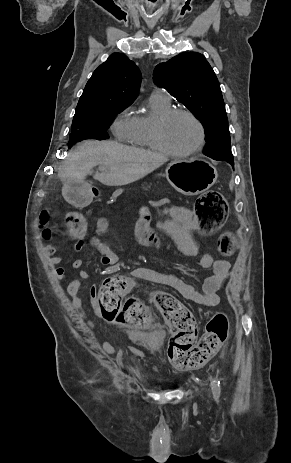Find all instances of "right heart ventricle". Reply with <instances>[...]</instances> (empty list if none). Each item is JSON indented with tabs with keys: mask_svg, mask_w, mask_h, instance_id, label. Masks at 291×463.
Wrapping results in <instances>:
<instances>
[{
	"mask_svg": "<svg viewBox=\"0 0 291 463\" xmlns=\"http://www.w3.org/2000/svg\"><path fill=\"white\" fill-rule=\"evenodd\" d=\"M148 106L149 113L133 116L134 130L130 142L135 146L156 149L152 141V124L159 115L171 109V104L170 100L166 101L158 94L152 93L148 100Z\"/></svg>",
	"mask_w": 291,
	"mask_h": 463,
	"instance_id": "e07e8e85",
	"label": "right heart ventricle"
}]
</instances>
